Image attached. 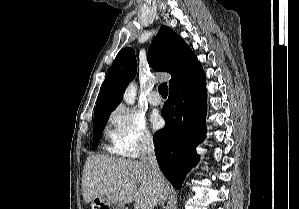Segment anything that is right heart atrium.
<instances>
[{
	"instance_id": "right-heart-atrium-1",
	"label": "right heart atrium",
	"mask_w": 299,
	"mask_h": 209,
	"mask_svg": "<svg viewBox=\"0 0 299 209\" xmlns=\"http://www.w3.org/2000/svg\"><path fill=\"white\" fill-rule=\"evenodd\" d=\"M108 125V138L114 150L123 156L138 157L154 146L144 119L125 107L112 111Z\"/></svg>"
}]
</instances>
